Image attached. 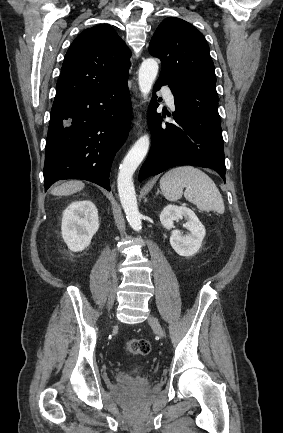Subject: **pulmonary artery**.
<instances>
[{"mask_svg":"<svg viewBox=\"0 0 283 433\" xmlns=\"http://www.w3.org/2000/svg\"><path fill=\"white\" fill-rule=\"evenodd\" d=\"M159 95L160 96H164L166 105L171 109V110H175V97L174 95L171 93L170 88L169 87H160L159 88Z\"/></svg>","mask_w":283,"mask_h":433,"instance_id":"e3ab8cb5","label":"pulmonary artery"}]
</instances>
